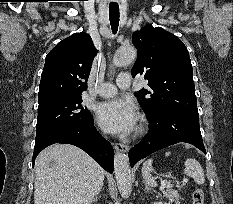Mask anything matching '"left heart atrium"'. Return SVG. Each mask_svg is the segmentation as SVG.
<instances>
[{
	"label": "left heart atrium",
	"instance_id": "39dd6f15",
	"mask_svg": "<svg viewBox=\"0 0 233 204\" xmlns=\"http://www.w3.org/2000/svg\"><path fill=\"white\" fill-rule=\"evenodd\" d=\"M96 115L102 129L116 135L131 133L137 120L134 104L123 99H113L99 104Z\"/></svg>",
	"mask_w": 233,
	"mask_h": 204
}]
</instances>
